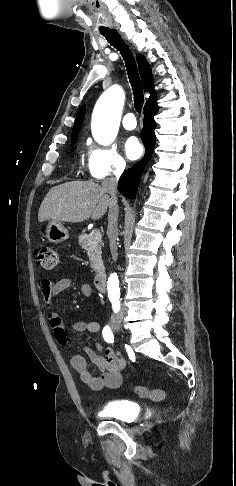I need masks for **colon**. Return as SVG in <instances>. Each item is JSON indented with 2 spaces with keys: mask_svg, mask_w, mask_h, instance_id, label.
Wrapping results in <instances>:
<instances>
[{
  "mask_svg": "<svg viewBox=\"0 0 236 486\" xmlns=\"http://www.w3.org/2000/svg\"><path fill=\"white\" fill-rule=\"evenodd\" d=\"M37 259L39 265L44 270H52L59 263V255L51 247H43L38 251ZM135 393L143 399H148L154 402L163 401L166 398V392L162 389L150 390L145 386H136Z\"/></svg>",
  "mask_w": 236,
  "mask_h": 486,
  "instance_id": "1",
  "label": "colon"
}]
</instances>
